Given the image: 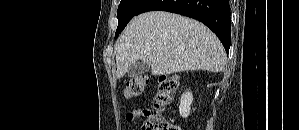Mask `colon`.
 I'll list each match as a JSON object with an SVG mask.
<instances>
[{
    "instance_id": "colon-1",
    "label": "colon",
    "mask_w": 299,
    "mask_h": 130,
    "mask_svg": "<svg viewBox=\"0 0 299 130\" xmlns=\"http://www.w3.org/2000/svg\"><path fill=\"white\" fill-rule=\"evenodd\" d=\"M148 83L147 75L131 78L124 84V96L132 99L142 95ZM177 88L178 80L175 76L164 75L159 78L153 97V109L141 110V114L145 117L142 130H180L177 125L167 121L160 113L172 103Z\"/></svg>"
}]
</instances>
